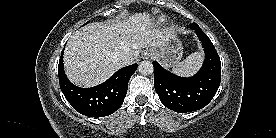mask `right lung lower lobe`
<instances>
[{
    "label": "right lung lower lobe",
    "mask_w": 276,
    "mask_h": 138,
    "mask_svg": "<svg viewBox=\"0 0 276 138\" xmlns=\"http://www.w3.org/2000/svg\"><path fill=\"white\" fill-rule=\"evenodd\" d=\"M133 64L118 70L104 83L91 88L72 84L65 75L63 51L58 65L60 88L71 106L89 117H105L114 113L123 103L130 77L137 69Z\"/></svg>",
    "instance_id": "obj_1"
}]
</instances>
